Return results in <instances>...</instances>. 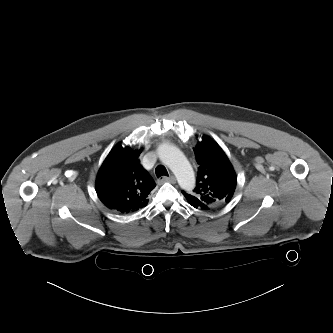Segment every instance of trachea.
<instances>
[{
    "label": "trachea",
    "mask_w": 333,
    "mask_h": 333,
    "mask_svg": "<svg viewBox=\"0 0 333 333\" xmlns=\"http://www.w3.org/2000/svg\"><path fill=\"white\" fill-rule=\"evenodd\" d=\"M155 173L158 178L160 176H168V172L163 165H158L155 169Z\"/></svg>",
    "instance_id": "3493384b"
}]
</instances>
